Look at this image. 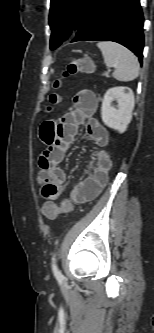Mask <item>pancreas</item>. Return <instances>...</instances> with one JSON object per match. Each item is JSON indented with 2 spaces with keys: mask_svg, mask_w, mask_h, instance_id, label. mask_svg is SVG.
<instances>
[{
  "mask_svg": "<svg viewBox=\"0 0 154 333\" xmlns=\"http://www.w3.org/2000/svg\"><path fill=\"white\" fill-rule=\"evenodd\" d=\"M103 76H105V77H109V72H104V73H103Z\"/></svg>",
  "mask_w": 154,
  "mask_h": 333,
  "instance_id": "cf45deb5",
  "label": "pancreas"
}]
</instances>
